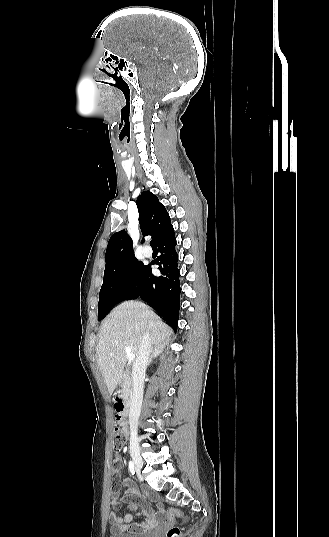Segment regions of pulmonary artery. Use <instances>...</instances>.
<instances>
[{"label": "pulmonary artery", "instance_id": "1", "mask_svg": "<svg viewBox=\"0 0 329 537\" xmlns=\"http://www.w3.org/2000/svg\"><path fill=\"white\" fill-rule=\"evenodd\" d=\"M142 252L147 257H150L152 255V249L149 246H145Z\"/></svg>", "mask_w": 329, "mask_h": 537}]
</instances>
